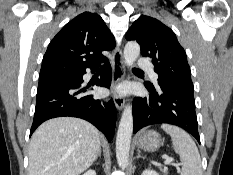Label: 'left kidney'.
<instances>
[{
	"instance_id": "1",
	"label": "left kidney",
	"mask_w": 233,
	"mask_h": 175,
	"mask_svg": "<svg viewBox=\"0 0 233 175\" xmlns=\"http://www.w3.org/2000/svg\"><path fill=\"white\" fill-rule=\"evenodd\" d=\"M141 175H159L156 171L154 170H144Z\"/></svg>"
}]
</instances>
